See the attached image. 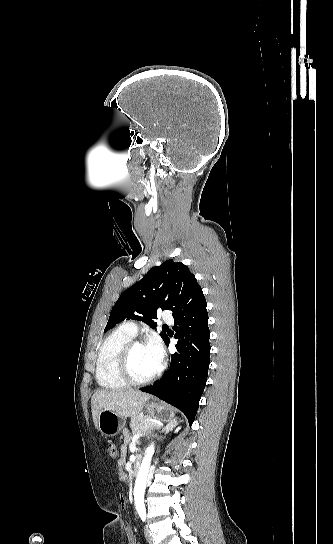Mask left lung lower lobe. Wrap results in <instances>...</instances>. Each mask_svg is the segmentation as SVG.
<instances>
[{
	"label": "left lung lower lobe",
	"mask_w": 333,
	"mask_h": 544,
	"mask_svg": "<svg viewBox=\"0 0 333 544\" xmlns=\"http://www.w3.org/2000/svg\"><path fill=\"white\" fill-rule=\"evenodd\" d=\"M206 305L201 294L173 316L177 352L171 356L170 367L161 381L141 389L180 409L190 424L198 410L210 363ZM164 342L169 345L168 336Z\"/></svg>",
	"instance_id": "1"
}]
</instances>
